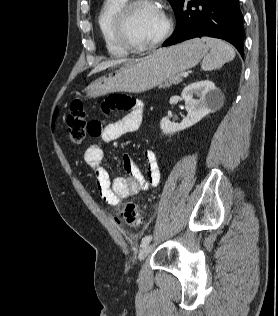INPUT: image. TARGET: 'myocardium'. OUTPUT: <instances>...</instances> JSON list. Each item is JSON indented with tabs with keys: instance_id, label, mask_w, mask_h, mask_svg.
<instances>
[{
	"instance_id": "myocardium-1",
	"label": "myocardium",
	"mask_w": 278,
	"mask_h": 316,
	"mask_svg": "<svg viewBox=\"0 0 278 316\" xmlns=\"http://www.w3.org/2000/svg\"><path fill=\"white\" fill-rule=\"evenodd\" d=\"M153 5L157 7L165 21V27L163 32L154 41L147 44H136L132 41L128 32V20L131 13L141 5ZM116 36L128 51L132 52H143L146 50L153 49L162 44L171 34L173 29V20L166 9L156 0H128L127 3L119 10L115 17L114 22Z\"/></svg>"
}]
</instances>
